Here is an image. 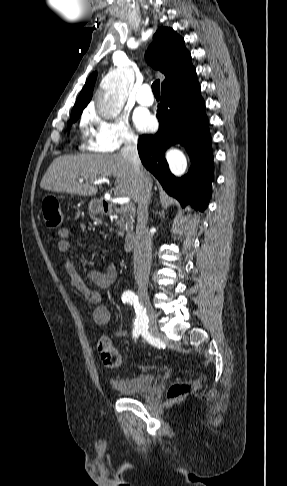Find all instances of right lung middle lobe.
I'll use <instances>...</instances> for the list:
<instances>
[{
  "instance_id": "dd1d6c3e",
  "label": "right lung middle lobe",
  "mask_w": 287,
  "mask_h": 486,
  "mask_svg": "<svg viewBox=\"0 0 287 486\" xmlns=\"http://www.w3.org/2000/svg\"><path fill=\"white\" fill-rule=\"evenodd\" d=\"M80 115H81V113L71 114L70 122L68 123V126H70L71 123L75 122L79 118Z\"/></svg>"
}]
</instances>
